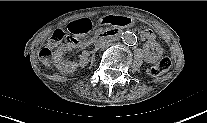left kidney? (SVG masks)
<instances>
[{
    "instance_id": "5707ae66",
    "label": "left kidney",
    "mask_w": 207,
    "mask_h": 123,
    "mask_svg": "<svg viewBox=\"0 0 207 123\" xmlns=\"http://www.w3.org/2000/svg\"><path fill=\"white\" fill-rule=\"evenodd\" d=\"M157 49H160L159 47H157ZM160 57L159 54L152 56V54H150L149 52H146L145 54V59L148 62H156L158 60V58Z\"/></svg>"
}]
</instances>
